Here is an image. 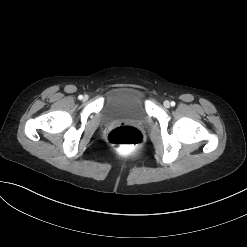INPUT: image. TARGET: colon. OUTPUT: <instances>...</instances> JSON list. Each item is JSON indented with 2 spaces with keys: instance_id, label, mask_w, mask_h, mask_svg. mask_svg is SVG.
<instances>
[{
  "instance_id": "5ec220e1",
  "label": "colon",
  "mask_w": 247,
  "mask_h": 247,
  "mask_svg": "<svg viewBox=\"0 0 247 247\" xmlns=\"http://www.w3.org/2000/svg\"><path fill=\"white\" fill-rule=\"evenodd\" d=\"M108 142L114 148L126 149L142 143V133L132 126H120L111 130L108 134Z\"/></svg>"
}]
</instances>
